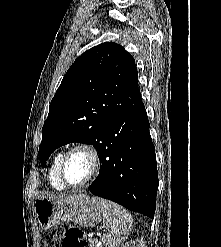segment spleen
Segmentation results:
<instances>
[{
	"label": "spleen",
	"mask_w": 221,
	"mask_h": 247,
	"mask_svg": "<svg viewBox=\"0 0 221 247\" xmlns=\"http://www.w3.org/2000/svg\"><path fill=\"white\" fill-rule=\"evenodd\" d=\"M102 209L103 224L108 230L102 238V243L106 247H116L127 239L133 218L127 210L113 202L106 201Z\"/></svg>",
	"instance_id": "1"
}]
</instances>
